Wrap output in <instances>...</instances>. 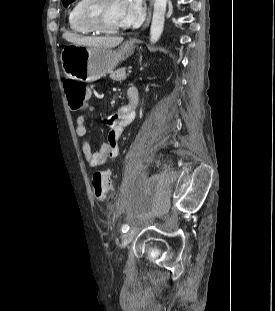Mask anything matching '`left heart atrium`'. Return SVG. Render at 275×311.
Returning a JSON list of instances; mask_svg holds the SVG:
<instances>
[{
  "instance_id": "left-heart-atrium-1",
  "label": "left heart atrium",
  "mask_w": 275,
  "mask_h": 311,
  "mask_svg": "<svg viewBox=\"0 0 275 311\" xmlns=\"http://www.w3.org/2000/svg\"><path fill=\"white\" fill-rule=\"evenodd\" d=\"M123 26H136L143 19L145 8L143 0H122Z\"/></svg>"
}]
</instances>
